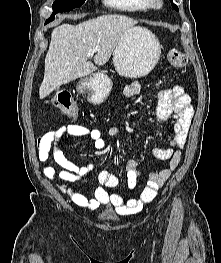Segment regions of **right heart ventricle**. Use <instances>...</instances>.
Wrapping results in <instances>:
<instances>
[{"mask_svg":"<svg viewBox=\"0 0 221 263\" xmlns=\"http://www.w3.org/2000/svg\"><path fill=\"white\" fill-rule=\"evenodd\" d=\"M110 8L124 12H146L149 10L147 0H104Z\"/></svg>","mask_w":221,"mask_h":263,"instance_id":"obj_1","label":"right heart ventricle"}]
</instances>
